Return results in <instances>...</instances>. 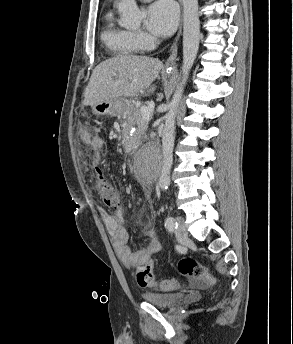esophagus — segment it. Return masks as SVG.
<instances>
[{
  "mask_svg": "<svg viewBox=\"0 0 293 344\" xmlns=\"http://www.w3.org/2000/svg\"><path fill=\"white\" fill-rule=\"evenodd\" d=\"M181 1L182 0H179L180 5H181ZM181 32H182V18L180 19L179 31H178V34H177V37L175 40V46L172 50L171 55L169 56V58L167 59V61L165 63L166 69H168L170 67H174V65L176 63V60H177V47H176V45H177L179 38L181 36Z\"/></svg>",
  "mask_w": 293,
  "mask_h": 344,
  "instance_id": "1",
  "label": "esophagus"
}]
</instances>
